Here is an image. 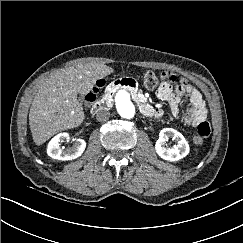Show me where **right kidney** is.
I'll list each match as a JSON object with an SVG mask.
<instances>
[{
  "instance_id": "obj_1",
  "label": "right kidney",
  "mask_w": 243,
  "mask_h": 243,
  "mask_svg": "<svg viewBox=\"0 0 243 243\" xmlns=\"http://www.w3.org/2000/svg\"><path fill=\"white\" fill-rule=\"evenodd\" d=\"M69 139V134L59 133L55 137H53L48 143L47 154L51 158L58 160H73L81 156L86 148V142L83 139H77L74 144L67 148H60L61 143L65 142Z\"/></svg>"
}]
</instances>
